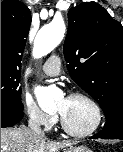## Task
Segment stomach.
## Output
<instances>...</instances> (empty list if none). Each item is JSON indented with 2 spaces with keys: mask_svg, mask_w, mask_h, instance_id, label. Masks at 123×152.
<instances>
[{
  "mask_svg": "<svg viewBox=\"0 0 123 152\" xmlns=\"http://www.w3.org/2000/svg\"><path fill=\"white\" fill-rule=\"evenodd\" d=\"M64 152H92V151L86 146H75L66 149Z\"/></svg>",
  "mask_w": 123,
  "mask_h": 152,
  "instance_id": "1",
  "label": "stomach"
}]
</instances>
